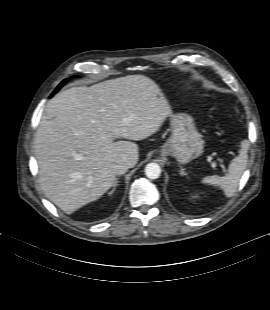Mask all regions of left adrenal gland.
Here are the masks:
<instances>
[{
    "mask_svg": "<svg viewBox=\"0 0 270 310\" xmlns=\"http://www.w3.org/2000/svg\"><path fill=\"white\" fill-rule=\"evenodd\" d=\"M180 174L181 175H187V173L185 172V169L183 167L180 166Z\"/></svg>",
    "mask_w": 270,
    "mask_h": 310,
    "instance_id": "1",
    "label": "left adrenal gland"
}]
</instances>
